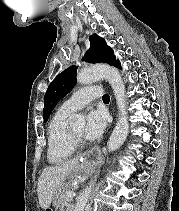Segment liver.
Returning a JSON list of instances; mask_svg holds the SVG:
<instances>
[{
  "mask_svg": "<svg viewBox=\"0 0 179 211\" xmlns=\"http://www.w3.org/2000/svg\"><path fill=\"white\" fill-rule=\"evenodd\" d=\"M80 158L63 162L60 165L46 167L38 179V199L42 209H47L61 188L67 177L74 178L80 170Z\"/></svg>",
  "mask_w": 179,
  "mask_h": 211,
  "instance_id": "obj_1",
  "label": "liver"
}]
</instances>
